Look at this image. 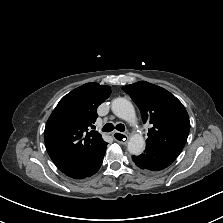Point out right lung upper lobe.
Returning a JSON list of instances; mask_svg holds the SVG:
<instances>
[{"label": "right lung upper lobe", "instance_id": "1", "mask_svg": "<svg viewBox=\"0 0 223 223\" xmlns=\"http://www.w3.org/2000/svg\"><path fill=\"white\" fill-rule=\"evenodd\" d=\"M111 94L109 86L84 84L65 95L50 115L44 133L49 156L62 172L82 164L106 142L88 131L94 127L97 107Z\"/></svg>", "mask_w": 223, "mask_h": 223}]
</instances>
